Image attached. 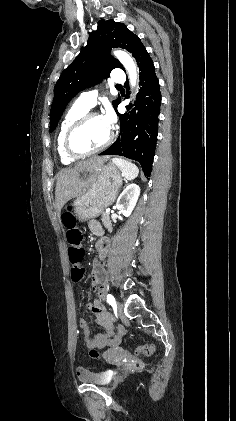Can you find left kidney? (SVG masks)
I'll use <instances>...</instances> for the list:
<instances>
[{
    "label": "left kidney",
    "instance_id": "5707ae66",
    "mask_svg": "<svg viewBox=\"0 0 236 421\" xmlns=\"http://www.w3.org/2000/svg\"><path fill=\"white\" fill-rule=\"evenodd\" d=\"M139 194L140 186L132 182V184H128L123 192H121L120 196H118L116 206L124 217H130L132 211H134Z\"/></svg>",
    "mask_w": 236,
    "mask_h": 421
}]
</instances>
